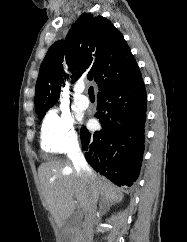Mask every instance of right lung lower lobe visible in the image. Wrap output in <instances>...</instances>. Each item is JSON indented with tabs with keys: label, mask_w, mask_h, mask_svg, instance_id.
<instances>
[{
	"label": "right lung lower lobe",
	"mask_w": 187,
	"mask_h": 242,
	"mask_svg": "<svg viewBox=\"0 0 187 242\" xmlns=\"http://www.w3.org/2000/svg\"><path fill=\"white\" fill-rule=\"evenodd\" d=\"M147 98L141 74L98 93L102 130L81 128L82 149L88 163L118 186L138 178L144 152Z\"/></svg>",
	"instance_id": "98d812e1"
}]
</instances>
